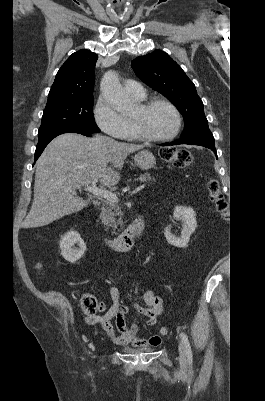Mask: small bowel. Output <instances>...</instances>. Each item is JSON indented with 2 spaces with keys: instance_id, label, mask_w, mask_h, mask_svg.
<instances>
[{
  "instance_id": "1",
  "label": "small bowel",
  "mask_w": 265,
  "mask_h": 401,
  "mask_svg": "<svg viewBox=\"0 0 265 401\" xmlns=\"http://www.w3.org/2000/svg\"><path fill=\"white\" fill-rule=\"evenodd\" d=\"M109 295L112 300L111 307L105 311V306L101 304V315L90 316L86 319L89 324H101L106 338L113 344L118 346H133V347H156L160 344L161 338L158 335H153L147 339H141L136 336L138 326L132 323L127 327L125 316L132 309L137 313L147 318L148 326H155L157 317L164 310L163 301L156 296L152 290H147L143 293L142 298L145 305L140 304H122L120 303V293L116 286H110ZM115 319L116 327L120 334H116L112 325V320Z\"/></svg>"
}]
</instances>
